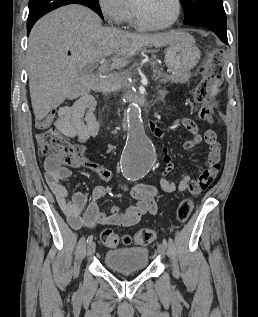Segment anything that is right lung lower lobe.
I'll list each match as a JSON object with an SVG mask.
<instances>
[{
	"label": "right lung lower lobe",
	"mask_w": 258,
	"mask_h": 317,
	"mask_svg": "<svg viewBox=\"0 0 258 317\" xmlns=\"http://www.w3.org/2000/svg\"><path fill=\"white\" fill-rule=\"evenodd\" d=\"M68 4H82L87 6L104 19L98 0H30L27 35H29L31 28L39 18L58 7Z\"/></svg>",
	"instance_id": "right-lung-lower-lobe-1"
}]
</instances>
